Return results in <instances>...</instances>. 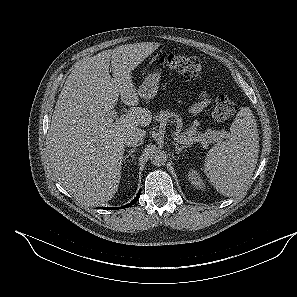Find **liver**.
Returning a JSON list of instances; mask_svg holds the SVG:
<instances>
[{
  "label": "liver",
  "instance_id": "obj_1",
  "mask_svg": "<svg viewBox=\"0 0 297 297\" xmlns=\"http://www.w3.org/2000/svg\"><path fill=\"white\" fill-rule=\"evenodd\" d=\"M159 46L141 42L102 51L77 65L63 86L48 130L49 158L59 182L84 205L114 197L125 137L138 131L145 135L139 127L149 125L151 113L137 107L131 72ZM119 96L131 108L115 120Z\"/></svg>",
  "mask_w": 297,
  "mask_h": 297
}]
</instances>
